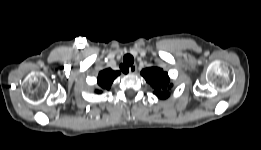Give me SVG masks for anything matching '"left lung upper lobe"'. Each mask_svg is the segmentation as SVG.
<instances>
[{"label":"left lung upper lobe","instance_id":"5c2ea615","mask_svg":"<svg viewBox=\"0 0 261 150\" xmlns=\"http://www.w3.org/2000/svg\"><path fill=\"white\" fill-rule=\"evenodd\" d=\"M141 75L155 89L157 92L156 95L159 98L166 99L170 96V93L164 89L166 87L171 89L173 85H169L170 79L168 73L164 72L163 69L153 66L142 70Z\"/></svg>","mask_w":261,"mask_h":150}]
</instances>
